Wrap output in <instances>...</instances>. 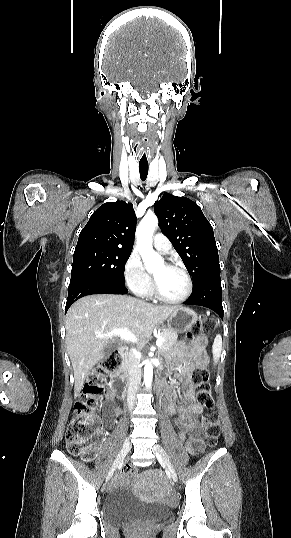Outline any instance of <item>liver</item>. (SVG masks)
<instances>
[{
    "label": "liver",
    "instance_id": "6515ba94",
    "mask_svg": "<svg viewBox=\"0 0 291 538\" xmlns=\"http://www.w3.org/2000/svg\"><path fill=\"white\" fill-rule=\"evenodd\" d=\"M178 306H157L125 295L100 294L76 301L66 314V347L74 372V394L78 396L91 369L104 358L113 337H98L126 328L145 340L155 325L166 320Z\"/></svg>",
    "mask_w": 291,
    "mask_h": 538
}]
</instances>
